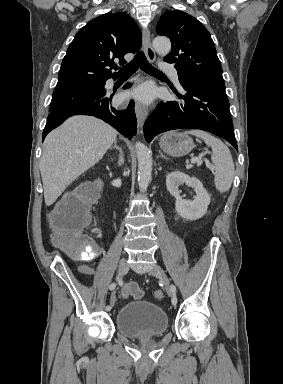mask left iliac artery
I'll return each mask as SVG.
<instances>
[{
    "mask_svg": "<svg viewBox=\"0 0 283 384\" xmlns=\"http://www.w3.org/2000/svg\"><path fill=\"white\" fill-rule=\"evenodd\" d=\"M171 294H172V304L177 305V296H176V287L171 285Z\"/></svg>",
    "mask_w": 283,
    "mask_h": 384,
    "instance_id": "left-iliac-artery-1",
    "label": "left iliac artery"
}]
</instances>
